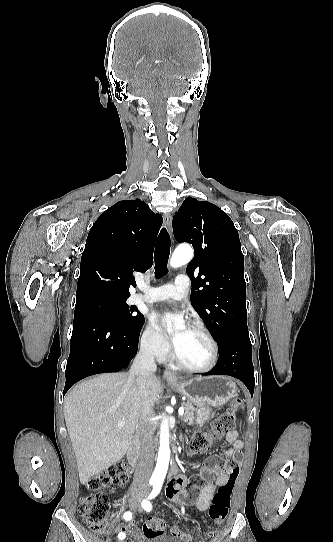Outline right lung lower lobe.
Instances as JSON below:
<instances>
[{
  "instance_id": "right-lung-lower-lobe-1",
  "label": "right lung lower lobe",
  "mask_w": 333,
  "mask_h": 542,
  "mask_svg": "<svg viewBox=\"0 0 333 542\" xmlns=\"http://www.w3.org/2000/svg\"><path fill=\"white\" fill-rule=\"evenodd\" d=\"M142 326L127 328L97 305L76 303L63 394L87 376L125 369L137 353Z\"/></svg>"
}]
</instances>
